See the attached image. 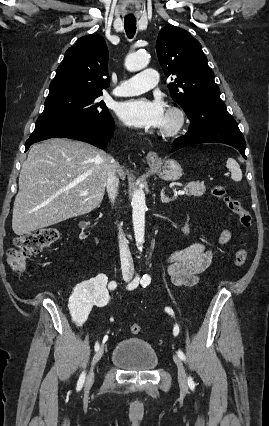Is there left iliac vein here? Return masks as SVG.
I'll use <instances>...</instances> for the list:
<instances>
[{
    "mask_svg": "<svg viewBox=\"0 0 269 426\" xmlns=\"http://www.w3.org/2000/svg\"><path fill=\"white\" fill-rule=\"evenodd\" d=\"M173 360L178 368V381L183 389H187V375L181 359L177 355H173Z\"/></svg>",
    "mask_w": 269,
    "mask_h": 426,
    "instance_id": "obj_1",
    "label": "left iliac vein"
}]
</instances>
